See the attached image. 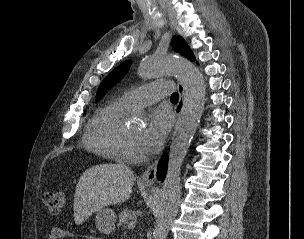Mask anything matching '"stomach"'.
Here are the masks:
<instances>
[{
	"label": "stomach",
	"mask_w": 304,
	"mask_h": 239,
	"mask_svg": "<svg viewBox=\"0 0 304 239\" xmlns=\"http://www.w3.org/2000/svg\"><path fill=\"white\" fill-rule=\"evenodd\" d=\"M116 215L112 209L101 208L97 211L95 223L97 229L103 234H110L115 229Z\"/></svg>",
	"instance_id": "obj_1"
}]
</instances>
